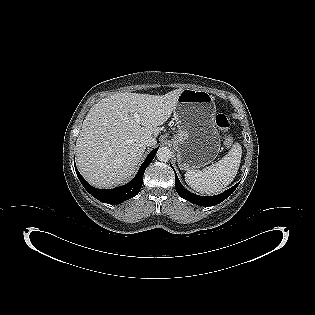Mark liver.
<instances>
[{"instance_id": "obj_1", "label": "liver", "mask_w": 315, "mask_h": 315, "mask_svg": "<svg viewBox=\"0 0 315 315\" xmlns=\"http://www.w3.org/2000/svg\"><path fill=\"white\" fill-rule=\"evenodd\" d=\"M182 91L176 89L160 96L116 93L93 105L76 141L77 166L82 176L98 188L128 180L145 152L142 139L159 135V126L176 109ZM134 114H138L139 122Z\"/></svg>"}]
</instances>
